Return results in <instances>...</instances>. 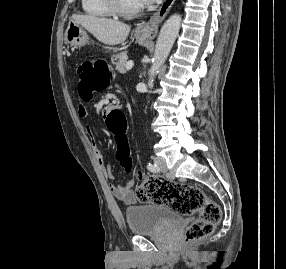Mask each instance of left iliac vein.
I'll use <instances>...</instances> for the list:
<instances>
[{
	"instance_id": "obj_1",
	"label": "left iliac vein",
	"mask_w": 286,
	"mask_h": 269,
	"mask_svg": "<svg viewBox=\"0 0 286 269\" xmlns=\"http://www.w3.org/2000/svg\"><path fill=\"white\" fill-rule=\"evenodd\" d=\"M155 164H157L160 167V170L163 172L167 171L166 161L163 157H156L155 158Z\"/></svg>"
}]
</instances>
